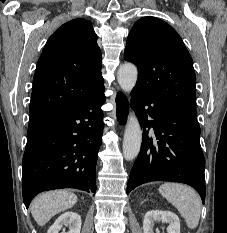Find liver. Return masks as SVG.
Here are the masks:
<instances>
[{"instance_id": "1", "label": "liver", "mask_w": 227, "mask_h": 233, "mask_svg": "<svg viewBox=\"0 0 227 233\" xmlns=\"http://www.w3.org/2000/svg\"><path fill=\"white\" fill-rule=\"evenodd\" d=\"M77 202V196L67 190L45 192L31 203V214L39 226H44L53 216L63 212Z\"/></svg>"}]
</instances>
